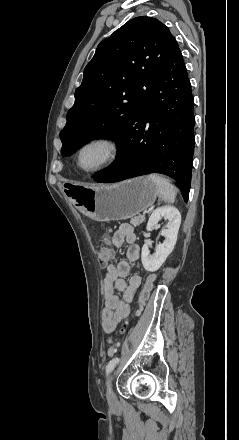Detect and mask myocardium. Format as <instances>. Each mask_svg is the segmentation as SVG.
Returning a JSON list of instances; mask_svg holds the SVG:
<instances>
[{
    "label": "myocardium",
    "mask_w": 239,
    "mask_h": 440,
    "mask_svg": "<svg viewBox=\"0 0 239 440\" xmlns=\"http://www.w3.org/2000/svg\"><path fill=\"white\" fill-rule=\"evenodd\" d=\"M92 145L106 146L108 149V156H107L106 160L98 167H96L94 169H89V170L82 169L80 166V160H81L82 153L85 149H87L88 147H90ZM121 151H122L121 144L115 136H112L109 134H101V135L93 136V137L87 139L86 141H84L80 145V147L76 153V160H75L76 167L78 168V170L80 172H82L84 174L100 173L102 171L107 170L108 168L113 166L118 161V159L121 155Z\"/></svg>",
    "instance_id": "obj_1"
}]
</instances>
